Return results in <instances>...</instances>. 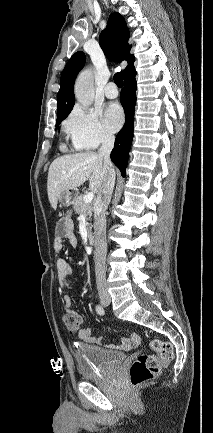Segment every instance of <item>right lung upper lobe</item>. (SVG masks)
Wrapping results in <instances>:
<instances>
[{
    "instance_id": "1",
    "label": "right lung upper lobe",
    "mask_w": 213,
    "mask_h": 433,
    "mask_svg": "<svg viewBox=\"0 0 213 433\" xmlns=\"http://www.w3.org/2000/svg\"><path fill=\"white\" fill-rule=\"evenodd\" d=\"M129 29L124 18L119 13H112L106 28L101 32L99 43L105 55L112 61L128 62L124 69V76L134 68V55L130 54L131 45L128 44ZM86 56L82 51L76 52L66 64L60 79L58 92L57 120L64 119L72 110L75 103L73 93L75 79L83 68Z\"/></svg>"
}]
</instances>
